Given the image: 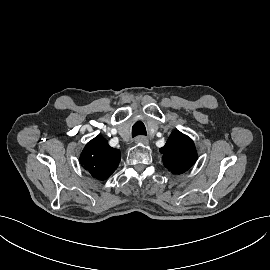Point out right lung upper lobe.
Listing matches in <instances>:
<instances>
[{
    "label": "right lung upper lobe",
    "instance_id": "right-lung-upper-lobe-1",
    "mask_svg": "<svg viewBox=\"0 0 270 270\" xmlns=\"http://www.w3.org/2000/svg\"><path fill=\"white\" fill-rule=\"evenodd\" d=\"M120 151L109 146L102 136L92 139L83 149L80 162L96 179H107L118 167Z\"/></svg>",
    "mask_w": 270,
    "mask_h": 270
}]
</instances>
